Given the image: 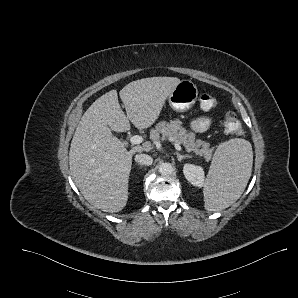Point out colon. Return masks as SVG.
<instances>
[{
    "mask_svg": "<svg viewBox=\"0 0 298 298\" xmlns=\"http://www.w3.org/2000/svg\"><path fill=\"white\" fill-rule=\"evenodd\" d=\"M199 101L201 108L204 110H209L216 104L215 98L208 92L201 93ZM222 123L225 131L229 134L239 136L243 133L242 124L237 118L236 114L232 111L225 113Z\"/></svg>",
    "mask_w": 298,
    "mask_h": 298,
    "instance_id": "obj_1",
    "label": "colon"
}]
</instances>
